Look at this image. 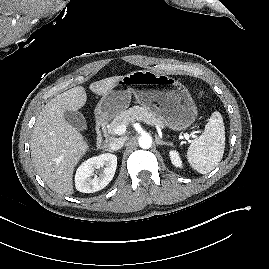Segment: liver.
<instances>
[{
    "mask_svg": "<svg viewBox=\"0 0 269 269\" xmlns=\"http://www.w3.org/2000/svg\"><path fill=\"white\" fill-rule=\"evenodd\" d=\"M121 78H105L91 83L89 88L93 93L104 96ZM86 101L87 94L82 86L57 95L41 110L33 128L32 161L47 186L58 194L74 193L75 166L89 150L82 134L65 120L64 112L78 111Z\"/></svg>",
    "mask_w": 269,
    "mask_h": 269,
    "instance_id": "1",
    "label": "liver"
}]
</instances>
